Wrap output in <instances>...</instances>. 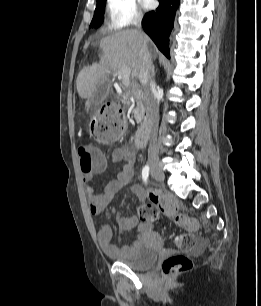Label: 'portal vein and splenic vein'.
I'll return each instance as SVG.
<instances>
[{
	"mask_svg": "<svg viewBox=\"0 0 261 306\" xmlns=\"http://www.w3.org/2000/svg\"><path fill=\"white\" fill-rule=\"evenodd\" d=\"M130 75H131V69L130 68H123L118 73V78L122 80V83L124 86L130 85Z\"/></svg>",
	"mask_w": 261,
	"mask_h": 306,
	"instance_id": "portal-vein-and-splenic-vein-1",
	"label": "portal vein and splenic vein"
}]
</instances>
